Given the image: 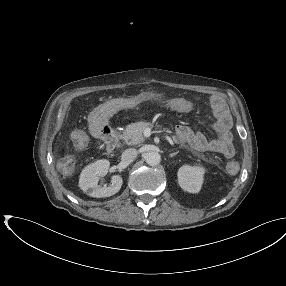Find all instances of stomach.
Returning <instances> with one entry per match:
<instances>
[{"mask_svg":"<svg viewBox=\"0 0 286 286\" xmlns=\"http://www.w3.org/2000/svg\"><path fill=\"white\" fill-rule=\"evenodd\" d=\"M143 98L146 100L161 102L164 100L165 96L164 94L159 93V92L148 91L143 94Z\"/></svg>","mask_w":286,"mask_h":286,"instance_id":"0dacf381","label":"stomach"}]
</instances>
